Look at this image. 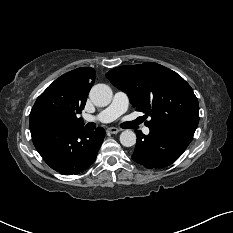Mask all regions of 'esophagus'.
Returning <instances> with one entry per match:
<instances>
[{"label": "esophagus", "mask_w": 233, "mask_h": 233, "mask_svg": "<svg viewBox=\"0 0 233 233\" xmlns=\"http://www.w3.org/2000/svg\"><path fill=\"white\" fill-rule=\"evenodd\" d=\"M119 132H120V130L116 127H110L107 129V133H109V134H117Z\"/></svg>", "instance_id": "obj_1"}]
</instances>
